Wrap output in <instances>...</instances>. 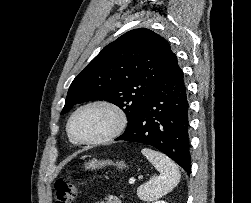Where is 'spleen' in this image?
<instances>
[{"instance_id": "3e777b00", "label": "spleen", "mask_w": 251, "mask_h": 203, "mask_svg": "<svg viewBox=\"0 0 251 203\" xmlns=\"http://www.w3.org/2000/svg\"><path fill=\"white\" fill-rule=\"evenodd\" d=\"M141 152L160 172L159 176L150 179L137 189L140 200L150 202L172 191L179 183L181 175L178 166L165 154L150 148H143Z\"/></svg>"}]
</instances>
